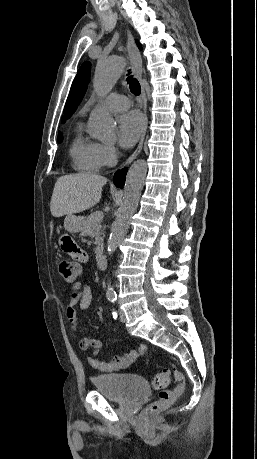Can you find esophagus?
<instances>
[{"label":"esophagus","mask_w":257,"mask_h":459,"mask_svg":"<svg viewBox=\"0 0 257 459\" xmlns=\"http://www.w3.org/2000/svg\"><path fill=\"white\" fill-rule=\"evenodd\" d=\"M127 52H128V56H129L132 68L134 70V73L139 79L141 86H142L141 103H142L143 110H144V123H143V129H142V134H141L139 144L137 148L135 149V151L133 152V154L127 159L125 166L131 163L141 152L143 143H144V139H145V135L147 132V126H148L147 99H146V92H145V89L142 83V74H143L142 59H141L140 52L138 48L136 47L133 35L129 30H127Z\"/></svg>","instance_id":"1"}]
</instances>
